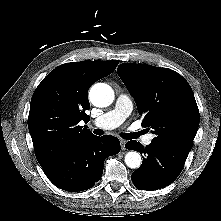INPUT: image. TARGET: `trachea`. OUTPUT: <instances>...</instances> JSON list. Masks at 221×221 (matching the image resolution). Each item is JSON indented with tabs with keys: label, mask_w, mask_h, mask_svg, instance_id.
<instances>
[{
	"label": "trachea",
	"mask_w": 221,
	"mask_h": 221,
	"mask_svg": "<svg viewBox=\"0 0 221 221\" xmlns=\"http://www.w3.org/2000/svg\"><path fill=\"white\" fill-rule=\"evenodd\" d=\"M94 134L96 135H102L103 131L101 129H95L94 130ZM141 133H126V134H122V137L130 140V139H135L137 138Z\"/></svg>",
	"instance_id": "1"
}]
</instances>
